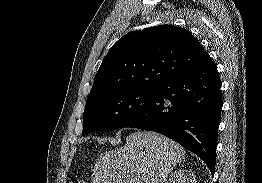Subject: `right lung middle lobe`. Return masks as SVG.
I'll use <instances>...</instances> for the list:
<instances>
[{
    "label": "right lung middle lobe",
    "instance_id": "dd1d6c3e",
    "mask_svg": "<svg viewBox=\"0 0 262 183\" xmlns=\"http://www.w3.org/2000/svg\"><path fill=\"white\" fill-rule=\"evenodd\" d=\"M156 92L157 89L130 88L87 100L82 134L127 126L151 104Z\"/></svg>",
    "mask_w": 262,
    "mask_h": 183
}]
</instances>
